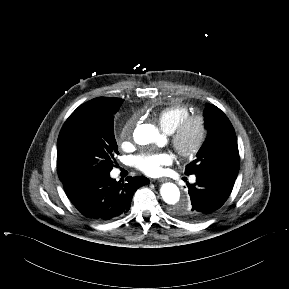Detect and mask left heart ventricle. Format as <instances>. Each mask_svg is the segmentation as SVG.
Masks as SVG:
<instances>
[{
	"instance_id": "left-heart-ventricle-1",
	"label": "left heart ventricle",
	"mask_w": 289,
	"mask_h": 289,
	"mask_svg": "<svg viewBox=\"0 0 289 289\" xmlns=\"http://www.w3.org/2000/svg\"><path fill=\"white\" fill-rule=\"evenodd\" d=\"M198 135V130L196 125H191L186 134H185V138H184V142L186 145H191L195 142L196 138Z\"/></svg>"
}]
</instances>
